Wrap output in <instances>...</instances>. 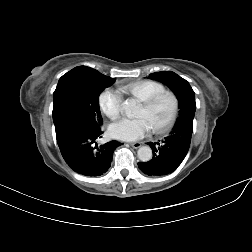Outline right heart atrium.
Wrapping results in <instances>:
<instances>
[{"mask_svg": "<svg viewBox=\"0 0 252 252\" xmlns=\"http://www.w3.org/2000/svg\"><path fill=\"white\" fill-rule=\"evenodd\" d=\"M99 105L107 117L115 119L121 112L122 97L116 90L105 89L99 96Z\"/></svg>", "mask_w": 252, "mask_h": 252, "instance_id": "1", "label": "right heart atrium"}]
</instances>
